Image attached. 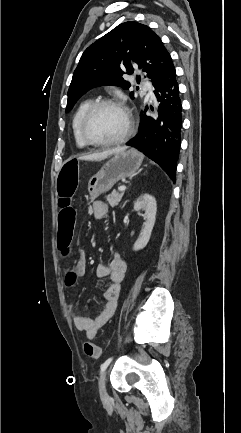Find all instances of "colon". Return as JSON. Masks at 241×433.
<instances>
[{"label": "colon", "instance_id": "obj_1", "mask_svg": "<svg viewBox=\"0 0 241 433\" xmlns=\"http://www.w3.org/2000/svg\"><path fill=\"white\" fill-rule=\"evenodd\" d=\"M62 167L58 169L56 177L57 200L59 201V217L56 219L59 236L57 245L64 257L70 253L71 243L77 228V218L79 216V207H70L71 201L74 200L79 176L80 157H64ZM74 275L68 274V282H72ZM84 353L87 357L98 359L101 356L102 349L100 346L86 342L84 344Z\"/></svg>", "mask_w": 241, "mask_h": 433}]
</instances>
